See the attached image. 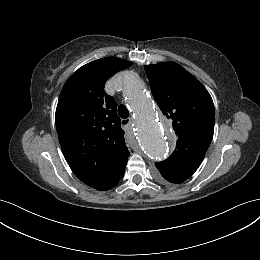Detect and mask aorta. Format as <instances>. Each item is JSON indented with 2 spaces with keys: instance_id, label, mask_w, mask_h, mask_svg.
<instances>
[{
  "instance_id": "aorta-1",
  "label": "aorta",
  "mask_w": 260,
  "mask_h": 260,
  "mask_svg": "<svg viewBox=\"0 0 260 260\" xmlns=\"http://www.w3.org/2000/svg\"><path fill=\"white\" fill-rule=\"evenodd\" d=\"M122 92L135 112L137 138L146 155L153 161L165 159L172 149V134L159 120L140 78L126 73L122 78Z\"/></svg>"
}]
</instances>
